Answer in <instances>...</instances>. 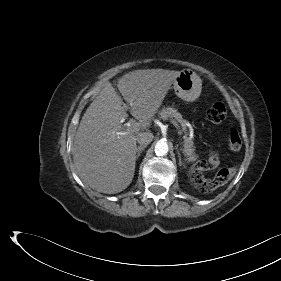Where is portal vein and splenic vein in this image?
<instances>
[{
	"instance_id": "portal-vein-and-splenic-vein-1",
	"label": "portal vein and splenic vein",
	"mask_w": 281,
	"mask_h": 281,
	"mask_svg": "<svg viewBox=\"0 0 281 281\" xmlns=\"http://www.w3.org/2000/svg\"><path fill=\"white\" fill-rule=\"evenodd\" d=\"M170 123L173 124V126L178 130V133L181 134L180 126L177 124V122L171 119V120H170ZM134 124H135L134 121L127 123V129H126V131L117 132L116 134H117L118 136L127 135L132 129H135Z\"/></svg>"
}]
</instances>
